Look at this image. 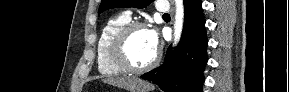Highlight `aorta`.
Instances as JSON below:
<instances>
[{
	"label": "aorta",
	"instance_id": "aorta-1",
	"mask_svg": "<svg viewBox=\"0 0 289 92\" xmlns=\"http://www.w3.org/2000/svg\"><path fill=\"white\" fill-rule=\"evenodd\" d=\"M176 14L174 22V42L178 43L181 37L183 21H184V6L182 0H175Z\"/></svg>",
	"mask_w": 289,
	"mask_h": 92
}]
</instances>
